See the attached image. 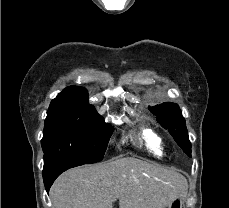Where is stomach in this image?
<instances>
[{"instance_id": "stomach-1", "label": "stomach", "mask_w": 229, "mask_h": 208, "mask_svg": "<svg viewBox=\"0 0 229 208\" xmlns=\"http://www.w3.org/2000/svg\"><path fill=\"white\" fill-rule=\"evenodd\" d=\"M186 194H175L170 198L169 204H166V208H184Z\"/></svg>"}]
</instances>
